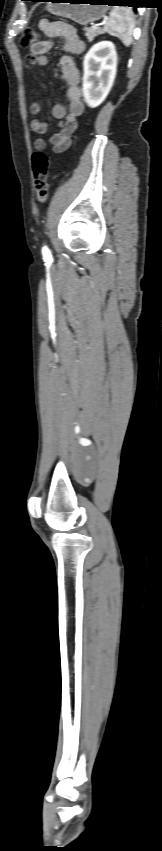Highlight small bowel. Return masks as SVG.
I'll list each match as a JSON object with an SVG mask.
<instances>
[{
  "label": "small bowel",
  "mask_w": 162,
  "mask_h": 851,
  "mask_svg": "<svg viewBox=\"0 0 162 851\" xmlns=\"http://www.w3.org/2000/svg\"><path fill=\"white\" fill-rule=\"evenodd\" d=\"M39 28L46 39L30 47V53L25 59L26 65L29 67L48 64L46 53L53 48L56 39L63 41V47L67 52L80 54L85 49V44L80 39L77 30L66 22L42 19L39 22ZM60 67L62 77L67 85L65 99L68 106L65 107L58 103L52 107V116L61 121L59 131L48 139L38 137L34 140V147L37 150H43L51 145L55 153H62L70 146L71 136L77 128V117L84 111L79 88L80 72L75 61L70 56H63L60 60ZM29 110L33 115L39 114L41 111L40 103L32 102ZM31 128L38 134H45L48 130V124L45 120L35 119L31 123Z\"/></svg>",
  "instance_id": "small-bowel-1"
}]
</instances>
